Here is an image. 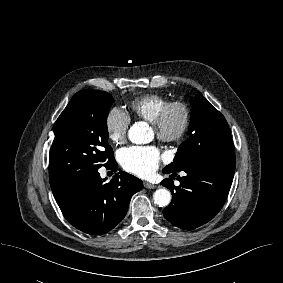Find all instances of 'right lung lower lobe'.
<instances>
[{
	"instance_id": "98d812e1",
	"label": "right lung lower lobe",
	"mask_w": 283,
	"mask_h": 283,
	"mask_svg": "<svg viewBox=\"0 0 283 283\" xmlns=\"http://www.w3.org/2000/svg\"><path fill=\"white\" fill-rule=\"evenodd\" d=\"M117 169L115 159L107 165ZM98 170L79 175L52 188L64 217L77 229L90 235L112 230L126 215L131 197L142 189V181L126 172H119L104 183Z\"/></svg>"
}]
</instances>
